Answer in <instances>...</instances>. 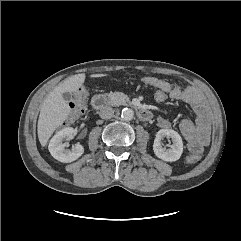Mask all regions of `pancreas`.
Masks as SVG:
<instances>
[{
  "label": "pancreas",
  "mask_w": 241,
  "mask_h": 241,
  "mask_svg": "<svg viewBox=\"0 0 241 241\" xmlns=\"http://www.w3.org/2000/svg\"><path fill=\"white\" fill-rule=\"evenodd\" d=\"M107 96L112 105H123L129 101L128 96L122 92H110Z\"/></svg>",
  "instance_id": "cf45deb5"
}]
</instances>
